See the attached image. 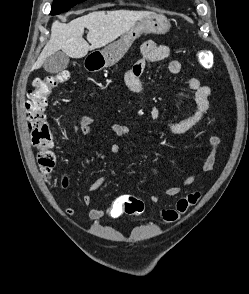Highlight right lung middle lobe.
Masks as SVG:
<instances>
[{
  "label": "right lung middle lobe",
  "mask_w": 249,
  "mask_h": 294,
  "mask_svg": "<svg viewBox=\"0 0 249 294\" xmlns=\"http://www.w3.org/2000/svg\"><path fill=\"white\" fill-rule=\"evenodd\" d=\"M85 0H54L51 8V15H58L62 12L68 11L74 5Z\"/></svg>",
  "instance_id": "dd1d6c3e"
}]
</instances>
